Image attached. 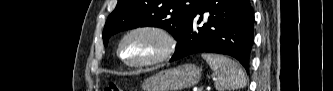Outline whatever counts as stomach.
Returning <instances> with one entry per match:
<instances>
[{
  "instance_id": "0dacf381",
  "label": "stomach",
  "mask_w": 333,
  "mask_h": 91,
  "mask_svg": "<svg viewBox=\"0 0 333 91\" xmlns=\"http://www.w3.org/2000/svg\"><path fill=\"white\" fill-rule=\"evenodd\" d=\"M201 70L194 64H183L176 68L162 70L144 80L145 91H180L196 85Z\"/></svg>"
}]
</instances>
